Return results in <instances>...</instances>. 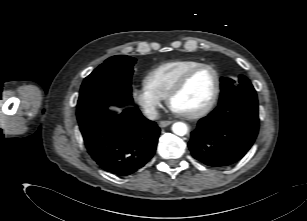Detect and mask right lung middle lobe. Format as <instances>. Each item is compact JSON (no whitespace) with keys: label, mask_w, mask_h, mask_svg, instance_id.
<instances>
[{"label":"right lung middle lobe","mask_w":307,"mask_h":221,"mask_svg":"<svg viewBox=\"0 0 307 221\" xmlns=\"http://www.w3.org/2000/svg\"><path fill=\"white\" fill-rule=\"evenodd\" d=\"M135 62L132 57L116 55L84 79L77 103L78 121L106 105L120 101H125V105L133 103L131 77Z\"/></svg>","instance_id":"obj_1"}]
</instances>
